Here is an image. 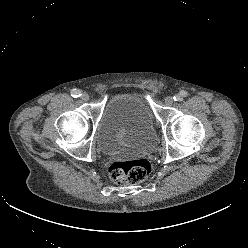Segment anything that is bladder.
Returning <instances> with one entry per match:
<instances>
[{
    "label": "bladder",
    "mask_w": 248,
    "mask_h": 248,
    "mask_svg": "<svg viewBox=\"0 0 248 248\" xmlns=\"http://www.w3.org/2000/svg\"><path fill=\"white\" fill-rule=\"evenodd\" d=\"M96 139L102 151L109 155L152 152L157 136L144 98L134 93L110 96L97 124Z\"/></svg>",
    "instance_id": "bladder-1"
}]
</instances>
